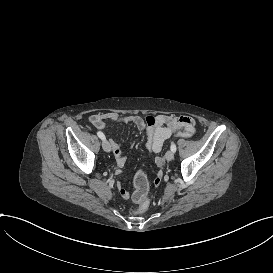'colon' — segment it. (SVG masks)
Here are the masks:
<instances>
[{
	"label": "colon",
	"mask_w": 273,
	"mask_h": 273,
	"mask_svg": "<svg viewBox=\"0 0 273 273\" xmlns=\"http://www.w3.org/2000/svg\"><path fill=\"white\" fill-rule=\"evenodd\" d=\"M171 119V117H168ZM145 121L148 126H155L157 124V118L153 115L145 116ZM135 184L137 187V191L135 192V199L137 204H139L138 208L133 210V215L135 217H140L142 214H145L149 209L148 199L144 197L147 192V184L144 180V175L142 173H137L135 175Z\"/></svg>",
	"instance_id": "colon-1"
}]
</instances>
